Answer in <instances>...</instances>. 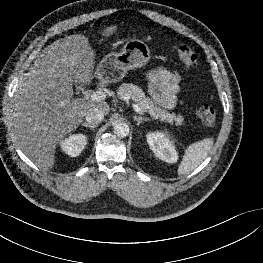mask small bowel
I'll list each match as a JSON object with an SVG mask.
<instances>
[{
    "label": "small bowel",
    "mask_w": 263,
    "mask_h": 263,
    "mask_svg": "<svg viewBox=\"0 0 263 263\" xmlns=\"http://www.w3.org/2000/svg\"><path fill=\"white\" fill-rule=\"evenodd\" d=\"M148 91L152 98L164 108H172L180 91L181 76L178 72L158 68L149 73Z\"/></svg>",
    "instance_id": "c3829d8e"
}]
</instances>
